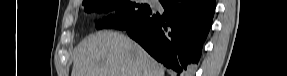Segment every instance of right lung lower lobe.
Returning a JSON list of instances; mask_svg holds the SVG:
<instances>
[{"instance_id": "obj_1", "label": "right lung lower lobe", "mask_w": 287, "mask_h": 76, "mask_svg": "<svg viewBox=\"0 0 287 76\" xmlns=\"http://www.w3.org/2000/svg\"><path fill=\"white\" fill-rule=\"evenodd\" d=\"M163 15L150 11L125 29L152 57L188 76L197 64L215 12V0H164Z\"/></svg>"}]
</instances>
